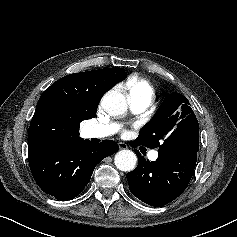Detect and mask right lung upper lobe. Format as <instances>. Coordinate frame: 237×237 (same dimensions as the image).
Returning <instances> with one entry per match:
<instances>
[{
    "label": "right lung upper lobe",
    "mask_w": 237,
    "mask_h": 237,
    "mask_svg": "<svg viewBox=\"0 0 237 237\" xmlns=\"http://www.w3.org/2000/svg\"><path fill=\"white\" fill-rule=\"evenodd\" d=\"M126 76L123 68L73 73L41 95L28 130V153L79 138L80 122L96 115L101 96Z\"/></svg>",
    "instance_id": "1"
}]
</instances>
